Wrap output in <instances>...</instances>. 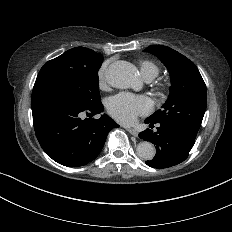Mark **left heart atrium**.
<instances>
[{
    "instance_id": "obj_1",
    "label": "left heart atrium",
    "mask_w": 232,
    "mask_h": 232,
    "mask_svg": "<svg viewBox=\"0 0 232 232\" xmlns=\"http://www.w3.org/2000/svg\"><path fill=\"white\" fill-rule=\"evenodd\" d=\"M109 113L122 124L133 123L139 115L150 111V103L147 98L121 93L109 100Z\"/></svg>"
}]
</instances>
